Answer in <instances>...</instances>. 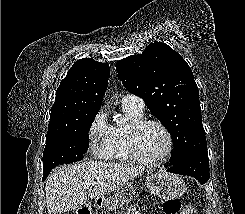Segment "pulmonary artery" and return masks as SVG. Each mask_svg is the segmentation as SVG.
I'll use <instances>...</instances> for the list:
<instances>
[{"mask_svg":"<svg viewBox=\"0 0 245 214\" xmlns=\"http://www.w3.org/2000/svg\"><path fill=\"white\" fill-rule=\"evenodd\" d=\"M122 104L132 105L140 111H143L145 106L144 101L133 94H126L122 99Z\"/></svg>","mask_w":245,"mask_h":214,"instance_id":"pulmonary-artery-1","label":"pulmonary artery"}]
</instances>
